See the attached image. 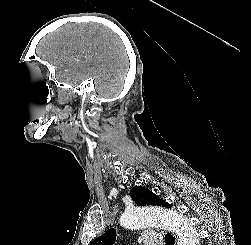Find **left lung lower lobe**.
<instances>
[{
  "instance_id": "0a47b994",
  "label": "left lung lower lobe",
  "mask_w": 251,
  "mask_h": 245,
  "mask_svg": "<svg viewBox=\"0 0 251 245\" xmlns=\"http://www.w3.org/2000/svg\"><path fill=\"white\" fill-rule=\"evenodd\" d=\"M165 242L167 245H174V237L171 234H166Z\"/></svg>"
}]
</instances>
